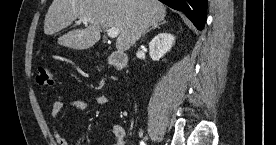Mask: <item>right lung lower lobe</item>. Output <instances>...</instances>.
<instances>
[{"label": "right lung lower lobe", "instance_id": "right-lung-lower-lobe-1", "mask_svg": "<svg viewBox=\"0 0 276 145\" xmlns=\"http://www.w3.org/2000/svg\"><path fill=\"white\" fill-rule=\"evenodd\" d=\"M169 7L182 11L199 30L205 25L207 0H159Z\"/></svg>", "mask_w": 276, "mask_h": 145}]
</instances>
